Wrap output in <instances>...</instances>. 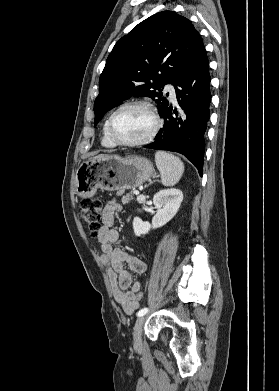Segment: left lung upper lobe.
<instances>
[{
  "mask_svg": "<svg viewBox=\"0 0 279 391\" xmlns=\"http://www.w3.org/2000/svg\"><path fill=\"white\" fill-rule=\"evenodd\" d=\"M203 48L191 21L173 11L156 13L139 23L107 58L94 103V124L132 96L152 98L161 115L168 100L160 91L168 83L176 85Z\"/></svg>",
  "mask_w": 279,
  "mask_h": 391,
  "instance_id": "5c2ea615",
  "label": "left lung upper lobe"
}]
</instances>
